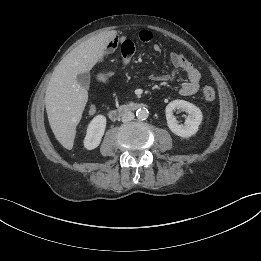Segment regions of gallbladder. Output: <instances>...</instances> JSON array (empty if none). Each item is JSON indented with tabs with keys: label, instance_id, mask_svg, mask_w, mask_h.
<instances>
[{
	"label": "gallbladder",
	"instance_id": "gallbladder-1",
	"mask_svg": "<svg viewBox=\"0 0 261 261\" xmlns=\"http://www.w3.org/2000/svg\"><path fill=\"white\" fill-rule=\"evenodd\" d=\"M77 82L83 88H88L90 85V74L89 73H81L76 77Z\"/></svg>",
	"mask_w": 261,
	"mask_h": 261
}]
</instances>
